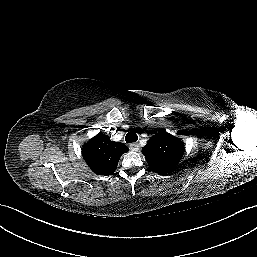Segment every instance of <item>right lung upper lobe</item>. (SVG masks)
I'll return each instance as SVG.
<instances>
[{
  "mask_svg": "<svg viewBox=\"0 0 257 257\" xmlns=\"http://www.w3.org/2000/svg\"><path fill=\"white\" fill-rule=\"evenodd\" d=\"M128 147L121 142H113L110 138L99 133L82 148V156L88 166L98 175L112 174L118 161Z\"/></svg>",
  "mask_w": 257,
  "mask_h": 257,
  "instance_id": "cb5924a9",
  "label": "right lung upper lobe"
}]
</instances>
